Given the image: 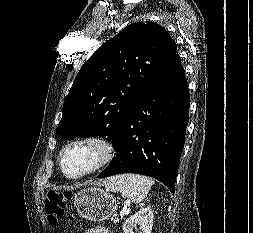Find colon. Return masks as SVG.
Returning a JSON list of instances; mask_svg holds the SVG:
<instances>
[{"label":"colon","instance_id":"1","mask_svg":"<svg viewBox=\"0 0 253 233\" xmlns=\"http://www.w3.org/2000/svg\"><path fill=\"white\" fill-rule=\"evenodd\" d=\"M70 199V193H63L57 190L48 191L45 210L47 219L51 225L57 224L64 217Z\"/></svg>","mask_w":253,"mask_h":233}]
</instances>
